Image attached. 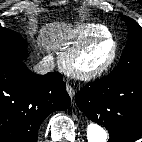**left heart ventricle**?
<instances>
[{"instance_id": "obj_1", "label": "left heart ventricle", "mask_w": 142, "mask_h": 142, "mask_svg": "<svg viewBox=\"0 0 142 142\" xmlns=\"http://www.w3.org/2000/svg\"><path fill=\"white\" fill-rule=\"evenodd\" d=\"M112 44L104 41L88 49L77 61V66L82 69H93L102 65L111 55Z\"/></svg>"}]
</instances>
